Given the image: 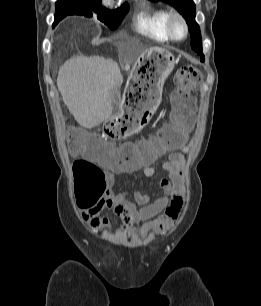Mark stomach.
Returning <instances> with one entry per match:
<instances>
[{"label":"stomach","mask_w":261,"mask_h":306,"mask_svg":"<svg viewBox=\"0 0 261 306\" xmlns=\"http://www.w3.org/2000/svg\"><path fill=\"white\" fill-rule=\"evenodd\" d=\"M138 66H146L147 75L130 82L125 90L120 111L112 119L126 127L124 136L143 129L161 102L163 85L176 64L174 55L163 48H150L137 60Z\"/></svg>","instance_id":"stomach-1"}]
</instances>
